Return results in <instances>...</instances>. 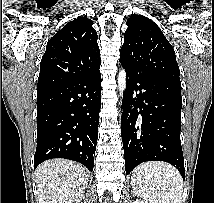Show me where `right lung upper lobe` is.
Returning <instances> with one entry per match:
<instances>
[{"label": "right lung upper lobe", "mask_w": 214, "mask_h": 203, "mask_svg": "<svg viewBox=\"0 0 214 203\" xmlns=\"http://www.w3.org/2000/svg\"><path fill=\"white\" fill-rule=\"evenodd\" d=\"M80 17L67 23L47 43L40 63L38 94L89 75L100 68L97 33Z\"/></svg>", "instance_id": "cb5924a9"}]
</instances>
